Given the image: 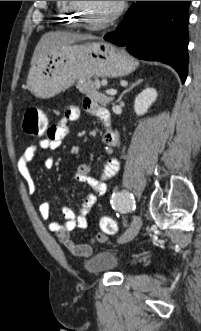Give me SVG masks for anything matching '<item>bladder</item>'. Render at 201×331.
<instances>
[{"label": "bladder", "instance_id": "bladder-1", "mask_svg": "<svg viewBox=\"0 0 201 331\" xmlns=\"http://www.w3.org/2000/svg\"><path fill=\"white\" fill-rule=\"evenodd\" d=\"M84 266L88 272L93 274L115 272L120 268V261L113 252L99 250L90 254L85 260Z\"/></svg>", "mask_w": 201, "mask_h": 331}]
</instances>
